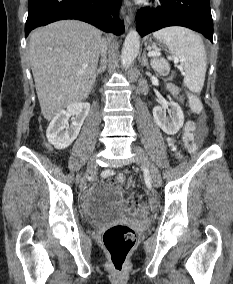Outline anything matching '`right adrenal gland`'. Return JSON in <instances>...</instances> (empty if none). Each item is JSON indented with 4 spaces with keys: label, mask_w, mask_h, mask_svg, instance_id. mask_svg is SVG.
Wrapping results in <instances>:
<instances>
[{
    "label": "right adrenal gland",
    "mask_w": 233,
    "mask_h": 284,
    "mask_svg": "<svg viewBox=\"0 0 233 284\" xmlns=\"http://www.w3.org/2000/svg\"><path fill=\"white\" fill-rule=\"evenodd\" d=\"M106 69V63H105V56H104V60L103 63L99 66V68L96 71V77H98V75L102 74Z\"/></svg>",
    "instance_id": "right-adrenal-gland-1"
}]
</instances>
